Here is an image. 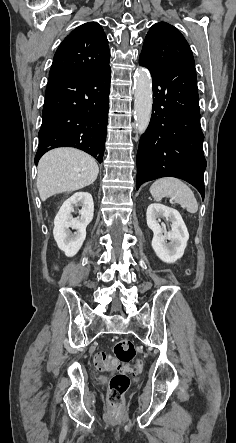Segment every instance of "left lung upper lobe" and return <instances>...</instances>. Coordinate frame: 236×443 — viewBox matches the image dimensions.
Returning <instances> with one entry per match:
<instances>
[{"label": "left lung upper lobe", "instance_id": "obj_1", "mask_svg": "<svg viewBox=\"0 0 236 443\" xmlns=\"http://www.w3.org/2000/svg\"><path fill=\"white\" fill-rule=\"evenodd\" d=\"M140 56L151 64L195 65L192 51L183 35L165 22L156 23L150 28Z\"/></svg>", "mask_w": 236, "mask_h": 443}]
</instances>
